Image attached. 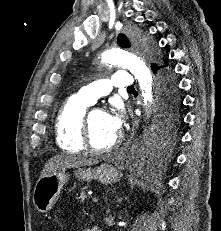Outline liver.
Masks as SVG:
<instances>
[{"mask_svg": "<svg viewBox=\"0 0 221 231\" xmlns=\"http://www.w3.org/2000/svg\"><path fill=\"white\" fill-rule=\"evenodd\" d=\"M97 160L88 159L81 156L74 155H57L48 160L45 164L40 177L54 173L58 170H65L67 168H78L80 166H87L97 163Z\"/></svg>", "mask_w": 221, "mask_h": 231, "instance_id": "1", "label": "liver"}]
</instances>
